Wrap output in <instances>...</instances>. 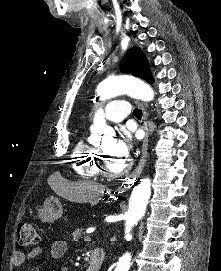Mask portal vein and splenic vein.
<instances>
[{
	"mask_svg": "<svg viewBox=\"0 0 221 271\" xmlns=\"http://www.w3.org/2000/svg\"><path fill=\"white\" fill-rule=\"evenodd\" d=\"M84 242H91V237H84Z\"/></svg>",
	"mask_w": 221,
	"mask_h": 271,
	"instance_id": "1",
	"label": "portal vein and splenic vein"
}]
</instances>
